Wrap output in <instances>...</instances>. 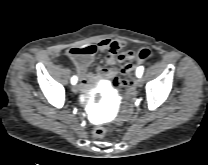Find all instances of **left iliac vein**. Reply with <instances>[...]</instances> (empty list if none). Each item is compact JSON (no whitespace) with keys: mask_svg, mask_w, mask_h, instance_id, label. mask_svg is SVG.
Here are the masks:
<instances>
[{"mask_svg":"<svg viewBox=\"0 0 208 165\" xmlns=\"http://www.w3.org/2000/svg\"><path fill=\"white\" fill-rule=\"evenodd\" d=\"M142 84H143V80H142V78H138V79H136V86L141 87V86H142Z\"/></svg>","mask_w":208,"mask_h":165,"instance_id":"4c4485c4","label":"left iliac vein"}]
</instances>
